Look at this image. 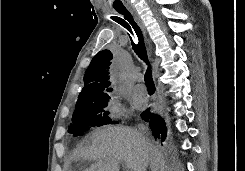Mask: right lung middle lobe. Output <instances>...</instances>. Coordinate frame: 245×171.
<instances>
[{"label":"right lung middle lobe","mask_w":245,"mask_h":171,"mask_svg":"<svg viewBox=\"0 0 245 171\" xmlns=\"http://www.w3.org/2000/svg\"><path fill=\"white\" fill-rule=\"evenodd\" d=\"M109 98L108 94H105L78 100L72 116L73 124L69 126L68 132L80 136L93 127L116 124L117 122L108 117L109 112L104 110Z\"/></svg>","instance_id":"obj_1"}]
</instances>
